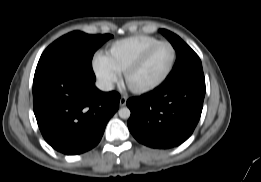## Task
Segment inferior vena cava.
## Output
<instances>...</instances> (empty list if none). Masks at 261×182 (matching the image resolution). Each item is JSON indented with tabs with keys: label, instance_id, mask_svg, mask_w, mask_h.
Instances as JSON below:
<instances>
[{
	"label": "inferior vena cava",
	"instance_id": "1",
	"mask_svg": "<svg viewBox=\"0 0 261 182\" xmlns=\"http://www.w3.org/2000/svg\"><path fill=\"white\" fill-rule=\"evenodd\" d=\"M96 87L101 91H111L114 88L112 82L108 80H97Z\"/></svg>",
	"mask_w": 261,
	"mask_h": 182
}]
</instances>
